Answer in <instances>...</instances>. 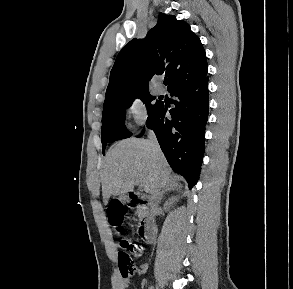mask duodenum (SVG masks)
<instances>
[{"mask_svg":"<svg viewBox=\"0 0 293 289\" xmlns=\"http://www.w3.org/2000/svg\"><path fill=\"white\" fill-rule=\"evenodd\" d=\"M129 207L141 213L138 231L142 239L150 244L156 239V228L154 218L149 212L150 203L135 192H128L125 196Z\"/></svg>","mask_w":293,"mask_h":289,"instance_id":"1","label":"duodenum"}]
</instances>
